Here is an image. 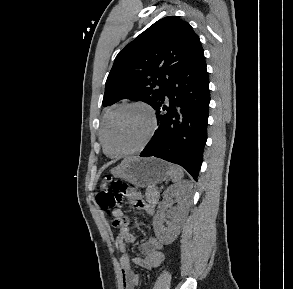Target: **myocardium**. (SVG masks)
I'll use <instances>...</instances> for the list:
<instances>
[{
	"label": "myocardium",
	"instance_id": "f54148a6",
	"mask_svg": "<svg viewBox=\"0 0 293 289\" xmlns=\"http://www.w3.org/2000/svg\"><path fill=\"white\" fill-rule=\"evenodd\" d=\"M131 107H140V108L144 109L147 112V114L149 116V120H150L149 131H148L146 137L144 138V140L142 141V143L140 145H138L137 147H135V148H133L131 150L122 152V153H118V154L111 153L109 151L108 142H107V136H108L109 129H110L114 119L122 111H124L125 109H128V108H131ZM157 128H158L157 115L155 113V110L149 104H147L145 102H142V101H132V102H129V103H125V104L119 106L113 112V114L110 116V118L108 119V121H107V123L105 125V129H104V132H103V139H102V145H103L104 153L108 157L115 158V159L123 158V157L129 156V155L135 154V153L143 150L150 143V141L152 140V138L154 137V135H155V133L157 131Z\"/></svg>",
	"mask_w": 293,
	"mask_h": 289
}]
</instances>
